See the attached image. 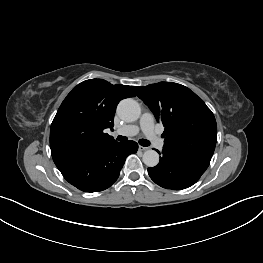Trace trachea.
<instances>
[{"label": "trachea", "instance_id": "3493384b", "mask_svg": "<svg viewBox=\"0 0 263 263\" xmlns=\"http://www.w3.org/2000/svg\"><path fill=\"white\" fill-rule=\"evenodd\" d=\"M117 140H118V141H126V140H127V137L119 135V136L117 137ZM139 144H140L141 146L146 147V146H149V145H150V142H149L148 140H146V139H140V140H139Z\"/></svg>", "mask_w": 263, "mask_h": 263}]
</instances>
